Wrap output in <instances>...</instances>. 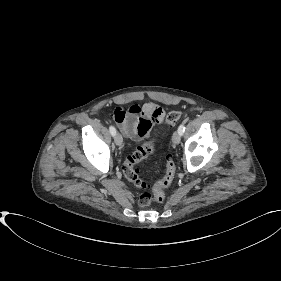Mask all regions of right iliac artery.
Listing matches in <instances>:
<instances>
[{
	"mask_svg": "<svg viewBox=\"0 0 281 281\" xmlns=\"http://www.w3.org/2000/svg\"><path fill=\"white\" fill-rule=\"evenodd\" d=\"M109 130H110V133H111L112 136H114L116 134V129H115L114 126H110Z\"/></svg>",
	"mask_w": 281,
	"mask_h": 281,
	"instance_id": "obj_1",
	"label": "right iliac artery"
}]
</instances>
